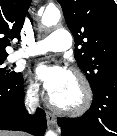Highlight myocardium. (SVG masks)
<instances>
[{"label":"myocardium","mask_w":117,"mask_h":136,"mask_svg":"<svg viewBox=\"0 0 117 136\" xmlns=\"http://www.w3.org/2000/svg\"><path fill=\"white\" fill-rule=\"evenodd\" d=\"M69 74H71L78 82L81 93L78 103L69 106L60 105L55 102L52 96H49L48 103L49 106L58 113L79 116L90 109L93 103V90L88 78L81 70L77 68H71L69 70Z\"/></svg>","instance_id":"1"}]
</instances>
